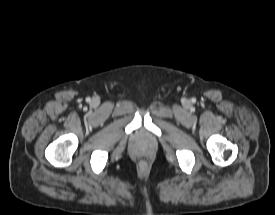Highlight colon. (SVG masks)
<instances>
[{
    "label": "colon",
    "instance_id": "1",
    "mask_svg": "<svg viewBox=\"0 0 275 215\" xmlns=\"http://www.w3.org/2000/svg\"><path fill=\"white\" fill-rule=\"evenodd\" d=\"M141 166H142V167H144V166H145V164H144V163H142V164H141Z\"/></svg>",
    "mask_w": 275,
    "mask_h": 215
}]
</instances>
